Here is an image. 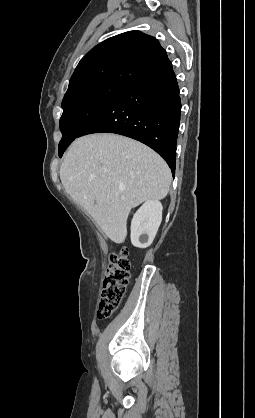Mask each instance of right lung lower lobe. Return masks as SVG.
Masks as SVG:
<instances>
[{
	"instance_id": "1",
	"label": "right lung lower lobe",
	"mask_w": 255,
	"mask_h": 418,
	"mask_svg": "<svg viewBox=\"0 0 255 418\" xmlns=\"http://www.w3.org/2000/svg\"><path fill=\"white\" fill-rule=\"evenodd\" d=\"M180 113L179 87L171 66L127 85L78 137L106 132L136 139L160 154L174 176Z\"/></svg>"
}]
</instances>
